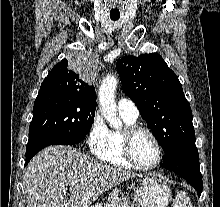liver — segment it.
<instances>
[{"label":"liver","mask_w":220,"mask_h":207,"mask_svg":"<svg viewBox=\"0 0 220 207\" xmlns=\"http://www.w3.org/2000/svg\"><path fill=\"white\" fill-rule=\"evenodd\" d=\"M138 174L89 158L69 146H50L28 164L23 186L27 207H92L104 192ZM72 188L70 198L67 187Z\"/></svg>","instance_id":"1"}]
</instances>
